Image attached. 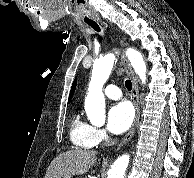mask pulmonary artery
<instances>
[{"label": "pulmonary artery", "instance_id": "pulmonary-artery-1", "mask_svg": "<svg viewBox=\"0 0 194 178\" xmlns=\"http://www.w3.org/2000/svg\"><path fill=\"white\" fill-rule=\"evenodd\" d=\"M105 95L110 99L117 100L122 97V92L116 85H109L105 89Z\"/></svg>", "mask_w": 194, "mask_h": 178}]
</instances>
